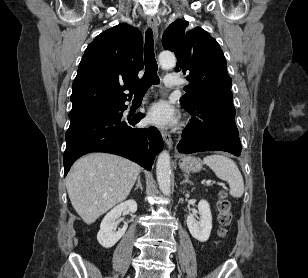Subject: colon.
Wrapping results in <instances>:
<instances>
[{"label":"colon","mask_w":308,"mask_h":278,"mask_svg":"<svg viewBox=\"0 0 308 278\" xmlns=\"http://www.w3.org/2000/svg\"><path fill=\"white\" fill-rule=\"evenodd\" d=\"M217 208L219 212L218 221L220 224V233L221 235H224L226 228L231 224L233 219L232 204L224 191L220 193V197L217 202Z\"/></svg>","instance_id":"1"}]
</instances>
